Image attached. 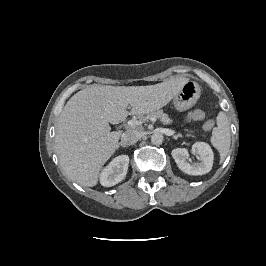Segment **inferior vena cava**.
Wrapping results in <instances>:
<instances>
[{"instance_id": "inferior-vena-cava-1", "label": "inferior vena cava", "mask_w": 266, "mask_h": 266, "mask_svg": "<svg viewBox=\"0 0 266 266\" xmlns=\"http://www.w3.org/2000/svg\"><path fill=\"white\" fill-rule=\"evenodd\" d=\"M141 138V133L135 130H127L121 135V143L130 146Z\"/></svg>"}]
</instances>
